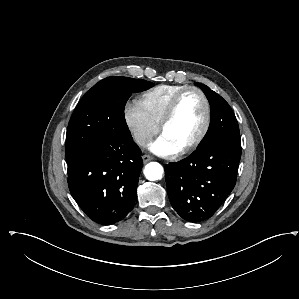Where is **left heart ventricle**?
Listing matches in <instances>:
<instances>
[{
  "instance_id": "obj_1",
  "label": "left heart ventricle",
  "mask_w": 299,
  "mask_h": 299,
  "mask_svg": "<svg viewBox=\"0 0 299 299\" xmlns=\"http://www.w3.org/2000/svg\"><path fill=\"white\" fill-rule=\"evenodd\" d=\"M204 120V104L195 92L182 97L171 122L162 135L179 149L188 144L199 132Z\"/></svg>"
}]
</instances>
